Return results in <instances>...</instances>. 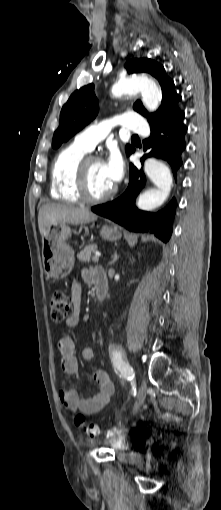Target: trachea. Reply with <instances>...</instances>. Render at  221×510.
<instances>
[{
    "label": "trachea",
    "mask_w": 221,
    "mask_h": 510,
    "mask_svg": "<svg viewBox=\"0 0 221 510\" xmlns=\"http://www.w3.org/2000/svg\"><path fill=\"white\" fill-rule=\"evenodd\" d=\"M133 137H138L137 135H133Z\"/></svg>",
    "instance_id": "trachea-1"
}]
</instances>
